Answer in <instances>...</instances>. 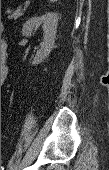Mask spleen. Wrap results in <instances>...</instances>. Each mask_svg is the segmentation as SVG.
<instances>
[{
  "instance_id": "1",
  "label": "spleen",
  "mask_w": 109,
  "mask_h": 170,
  "mask_svg": "<svg viewBox=\"0 0 109 170\" xmlns=\"http://www.w3.org/2000/svg\"><path fill=\"white\" fill-rule=\"evenodd\" d=\"M51 2H56L57 0H50Z\"/></svg>"
}]
</instances>
